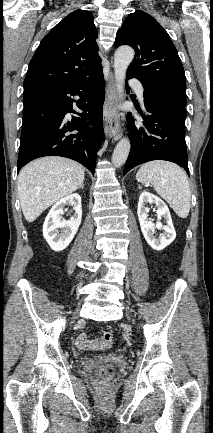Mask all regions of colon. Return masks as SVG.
Instances as JSON below:
<instances>
[{
	"instance_id": "obj_1",
	"label": "colon",
	"mask_w": 213,
	"mask_h": 433,
	"mask_svg": "<svg viewBox=\"0 0 213 433\" xmlns=\"http://www.w3.org/2000/svg\"><path fill=\"white\" fill-rule=\"evenodd\" d=\"M113 339H114L113 334L110 332H106L102 336V340L107 345H110L113 342ZM96 374H97L101 384L105 385L108 382V380L111 378V376L113 375V368L110 366L101 367L100 369L97 370Z\"/></svg>"
}]
</instances>
